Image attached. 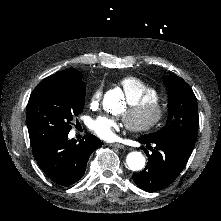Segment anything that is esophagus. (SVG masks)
Listing matches in <instances>:
<instances>
[{"label": "esophagus", "mask_w": 221, "mask_h": 221, "mask_svg": "<svg viewBox=\"0 0 221 221\" xmlns=\"http://www.w3.org/2000/svg\"><path fill=\"white\" fill-rule=\"evenodd\" d=\"M109 146L115 147V148H118V149H125V146L122 145V144H119V143H111V144H109Z\"/></svg>", "instance_id": "34e87169"}]
</instances>
